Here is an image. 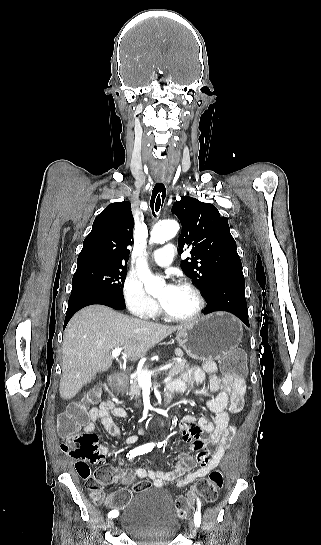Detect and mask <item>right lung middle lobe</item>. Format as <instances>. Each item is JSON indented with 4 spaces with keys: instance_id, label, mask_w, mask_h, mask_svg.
Here are the masks:
<instances>
[{
    "instance_id": "dd1d6c3e",
    "label": "right lung middle lobe",
    "mask_w": 321,
    "mask_h": 545,
    "mask_svg": "<svg viewBox=\"0 0 321 545\" xmlns=\"http://www.w3.org/2000/svg\"><path fill=\"white\" fill-rule=\"evenodd\" d=\"M126 266L88 265L77 268L72 279L71 294L96 292L124 299Z\"/></svg>"
}]
</instances>
